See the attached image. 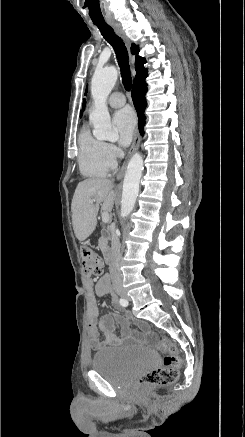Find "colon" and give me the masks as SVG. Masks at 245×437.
Listing matches in <instances>:
<instances>
[{"label":"colon","mask_w":245,"mask_h":437,"mask_svg":"<svg viewBox=\"0 0 245 437\" xmlns=\"http://www.w3.org/2000/svg\"><path fill=\"white\" fill-rule=\"evenodd\" d=\"M81 259L82 271L85 276L102 274L104 264L95 251L88 247L82 248ZM159 348L166 353L164 366L144 373L139 380L143 386H165L174 383L178 378L182 360L176 345L164 338L160 342Z\"/></svg>","instance_id":"obj_1"}]
</instances>
